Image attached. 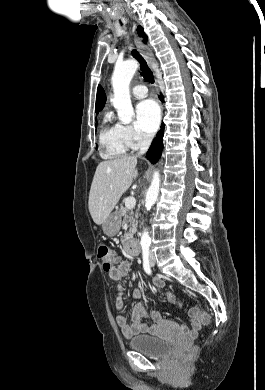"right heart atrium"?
<instances>
[{
  "label": "right heart atrium",
  "instance_id": "d8ad5b80",
  "mask_svg": "<svg viewBox=\"0 0 265 390\" xmlns=\"http://www.w3.org/2000/svg\"><path fill=\"white\" fill-rule=\"evenodd\" d=\"M123 135L128 144L132 149L138 148L146 144L149 137L144 133L140 132L132 125H122Z\"/></svg>",
  "mask_w": 265,
  "mask_h": 390
}]
</instances>
